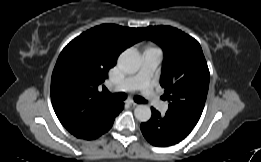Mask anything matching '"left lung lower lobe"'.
I'll return each instance as SVG.
<instances>
[{
    "label": "left lung lower lobe",
    "instance_id": "obj_1",
    "mask_svg": "<svg viewBox=\"0 0 261 162\" xmlns=\"http://www.w3.org/2000/svg\"><path fill=\"white\" fill-rule=\"evenodd\" d=\"M151 110V119L142 123L140 128L147 141L154 146L166 147L177 144L186 138L195 126L182 117L168 113L162 116L154 108Z\"/></svg>",
    "mask_w": 261,
    "mask_h": 162
}]
</instances>
